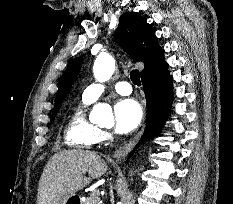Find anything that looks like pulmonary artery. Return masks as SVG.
I'll return each mask as SVG.
<instances>
[{
	"mask_svg": "<svg viewBox=\"0 0 233 204\" xmlns=\"http://www.w3.org/2000/svg\"><path fill=\"white\" fill-rule=\"evenodd\" d=\"M107 89H114L121 95H129L132 92L131 85L126 81H121L114 84L92 83L84 90L83 97L88 101L94 102Z\"/></svg>",
	"mask_w": 233,
	"mask_h": 204,
	"instance_id": "1",
	"label": "pulmonary artery"
}]
</instances>
